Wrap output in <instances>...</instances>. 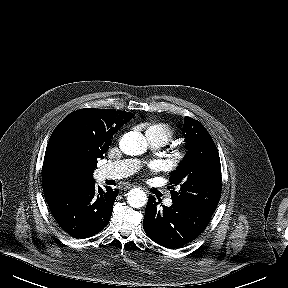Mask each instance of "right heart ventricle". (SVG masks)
Instances as JSON below:
<instances>
[{
  "mask_svg": "<svg viewBox=\"0 0 288 288\" xmlns=\"http://www.w3.org/2000/svg\"><path fill=\"white\" fill-rule=\"evenodd\" d=\"M147 134L160 137L168 142L175 135V129L168 123L158 122L148 126Z\"/></svg>",
  "mask_w": 288,
  "mask_h": 288,
  "instance_id": "1",
  "label": "right heart ventricle"
}]
</instances>
